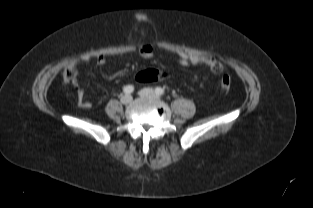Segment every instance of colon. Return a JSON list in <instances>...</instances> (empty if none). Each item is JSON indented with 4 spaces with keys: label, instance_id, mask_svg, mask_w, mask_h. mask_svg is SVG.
Listing matches in <instances>:
<instances>
[{
    "label": "colon",
    "instance_id": "colon-1",
    "mask_svg": "<svg viewBox=\"0 0 313 208\" xmlns=\"http://www.w3.org/2000/svg\"><path fill=\"white\" fill-rule=\"evenodd\" d=\"M211 57V64H210V69L213 73L215 74H220L222 72V66L220 62L214 57ZM168 77V74L157 70V69H147L144 71L139 72L136 75V80L140 83H149V82H156L159 80L166 79ZM65 81L66 83L72 85V86H77L78 85V80H77V75L74 69L68 70L65 74ZM231 86V78L228 74H223L220 78V88L223 91H228Z\"/></svg>",
    "mask_w": 313,
    "mask_h": 208
}]
</instances>
